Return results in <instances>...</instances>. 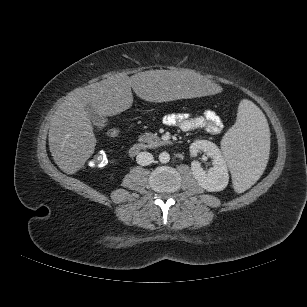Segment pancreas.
Returning a JSON list of instances; mask_svg holds the SVG:
<instances>
[{"instance_id": "1", "label": "pancreas", "mask_w": 307, "mask_h": 307, "mask_svg": "<svg viewBox=\"0 0 307 307\" xmlns=\"http://www.w3.org/2000/svg\"><path fill=\"white\" fill-rule=\"evenodd\" d=\"M139 142L141 143H148L154 146H158L162 143V141H160L159 137L157 136V134H153L151 132L149 133H144L141 134L139 136Z\"/></svg>"}]
</instances>
